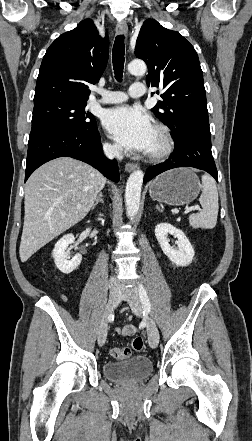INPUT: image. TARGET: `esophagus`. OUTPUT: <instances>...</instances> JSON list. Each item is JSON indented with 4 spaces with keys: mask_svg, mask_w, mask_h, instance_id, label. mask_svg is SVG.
Returning <instances> with one entry per match:
<instances>
[{
    "mask_svg": "<svg viewBox=\"0 0 252 441\" xmlns=\"http://www.w3.org/2000/svg\"><path fill=\"white\" fill-rule=\"evenodd\" d=\"M127 32H128L127 25L124 22H119L116 26V33L118 35H126ZM137 168H138V164H136V163H127L125 165V170L129 173L134 171Z\"/></svg>",
    "mask_w": 252,
    "mask_h": 441,
    "instance_id": "obj_1",
    "label": "esophagus"
}]
</instances>
